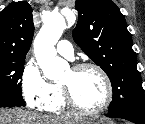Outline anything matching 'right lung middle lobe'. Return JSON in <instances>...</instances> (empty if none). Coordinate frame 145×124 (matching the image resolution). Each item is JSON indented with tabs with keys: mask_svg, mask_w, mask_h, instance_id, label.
Returning <instances> with one entry per match:
<instances>
[{
	"mask_svg": "<svg viewBox=\"0 0 145 124\" xmlns=\"http://www.w3.org/2000/svg\"><path fill=\"white\" fill-rule=\"evenodd\" d=\"M24 63L25 58H0V98L22 97Z\"/></svg>",
	"mask_w": 145,
	"mask_h": 124,
	"instance_id": "dd1d6c3e",
	"label": "right lung middle lobe"
}]
</instances>
